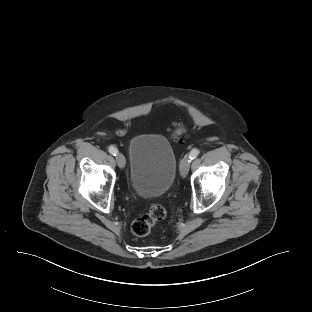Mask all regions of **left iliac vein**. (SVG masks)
<instances>
[{
  "instance_id": "1",
  "label": "left iliac vein",
  "mask_w": 312,
  "mask_h": 312,
  "mask_svg": "<svg viewBox=\"0 0 312 312\" xmlns=\"http://www.w3.org/2000/svg\"><path fill=\"white\" fill-rule=\"evenodd\" d=\"M190 159L188 156H185L180 162V175L185 177L189 171Z\"/></svg>"
}]
</instances>
